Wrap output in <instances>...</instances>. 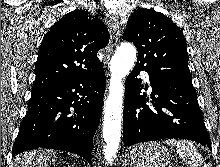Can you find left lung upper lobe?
<instances>
[{
    "label": "left lung upper lobe",
    "mask_w": 220,
    "mask_h": 167,
    "mask_svg": "<svg viewBox=\"0 0 220 167\" xmlns=\"http://www.w3.org/2000/svg\"><path fill=\"white\" fill-rule=\"evenodd\" d=\"M123 39L137 47V67L152 76L192 82L184 35L167 16L151 9H137L128 19Z\"/></svg>",
    "instance_id": "5c2ea615"
}]
</instances>
